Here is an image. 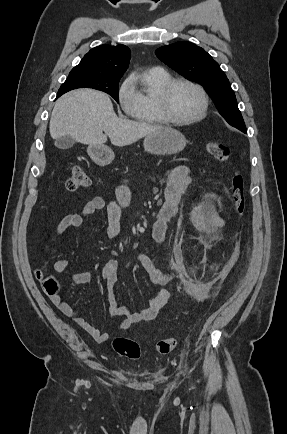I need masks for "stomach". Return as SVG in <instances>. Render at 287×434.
Segmentation results:
<instances>
[{
  "mask_svg": "<svg viewBox=\"0 0 287 434\" xmlns=\"http://www.w3.org/2000/svg\"><path fill=\"white\" fill-rule=\"evenodd\" d=\"M184 135L173 128H163L147 135L144 139L145 151L154 155H171L182 151L186 146ZM90 158L98 165H108L115 157L114 152L105 145H89Z\"/></svg>",
  "mask_w": 287,
  "mask_h": 434,
  "instance_id": "0dacf381",
  "label": "stomach"
}]
</instances>
